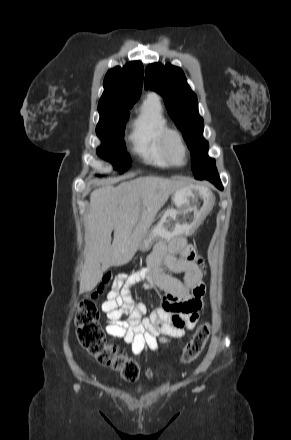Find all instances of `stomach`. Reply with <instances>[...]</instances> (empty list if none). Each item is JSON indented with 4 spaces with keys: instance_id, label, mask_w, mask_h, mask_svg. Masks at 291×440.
<instances>
[{
    "instance_id": "stomach-1",
    "label": "stomach",
    "mask_w": 291,
    "mask_h": 440,
    "mask_svg": "<svg viewBox=\"0 0 291 440\" xmlns=\"http://www.w3.org/2000/svg\"><path fill=\"white\" fill-rule=\"evenodd\" d=\"M172 202L176 208L164 213L142 242V249L149 248L159 238L169 240L178 235H190L212 210L215 196L204 185L183 184L173 191Z\"/></svg>"
}]
</instances>
